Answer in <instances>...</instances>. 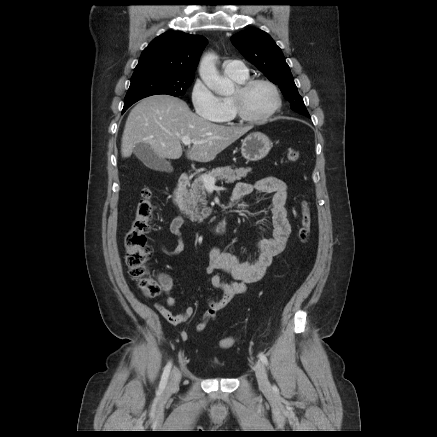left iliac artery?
<instances>
[{"label":"left iliac artery","instance_id":"obj_1","mask_svg":"<svg viewBox=\"0 0 437 437\" xmlns=\"http://www.w3.org/2000/svg\"><path fill=\"white\" fill-rule=\"evenodd\" d=\"M259 358H260V360L262 361L263 364L268 365V359H267L265 354L260 353L259 354Z\"/></svg>","mask_w":437,"mask_h":437}]
</instances>
